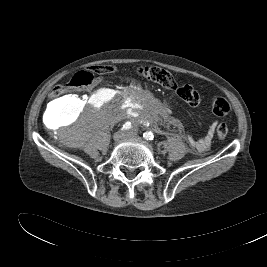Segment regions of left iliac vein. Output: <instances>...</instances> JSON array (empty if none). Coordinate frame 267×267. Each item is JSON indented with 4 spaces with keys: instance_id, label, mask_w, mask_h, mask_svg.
<instances>
[{
    "instance_id": "obj_1",
    "label": "left iliac vein",
    "mask_w": 267,
    "mask_h": 267,
    "mask_svg": "<svg viewBox=\"0 0 267 267\" xmlns=\"http://www.w3.org/2000/svg\"><path fill=\"white\" fill-rule=\"evenodd\" d=\"M127 137H136V134L134 132H129L126 134Z\"/></svg>"
}]
</instances>
